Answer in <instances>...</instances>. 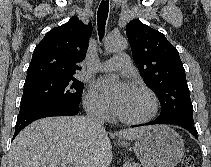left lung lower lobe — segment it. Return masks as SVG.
Returning a JSON list of instances; mask_svg holds the SVG:
<instances>
[{
	"mask_svg": "<svg viewBox=\"0 0 211 167\" xmlns=\"http://www.w3.org/2000/svg\"><path fill=\"white\" fill-rule=\"evenodd\" d=\"M154 124H175L178 126H181L185 129H187L189 132H191L196 138H197V131L196 128L194 127V124L187 123V122H182V121H164L160 119H156L155 121L138 125V126H143V125H154Z\"/></svg>",
	"mask_w": 211,
	"mask_h": 167,
	"instance_id": "left-lung-lower-lobe-1",
	"label": "left lung lower lobe"
}]
</instances>
